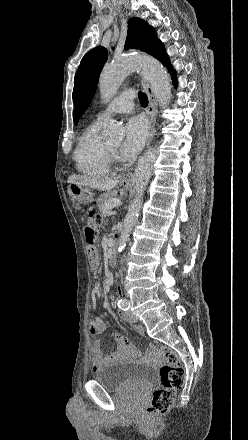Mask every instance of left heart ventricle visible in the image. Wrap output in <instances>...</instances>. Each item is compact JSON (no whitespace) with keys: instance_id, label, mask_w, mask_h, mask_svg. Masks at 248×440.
<instances>
[{"instance_id":"b2bd125f","label":"left heart ventricle","mask_w":248,"mask_h":440,"mask_svg":"<svg viewBox=\"0 0 248 440\" xmlns=\"http://www.w3.org/2000/svg\"><path fill=\"white\" fill-rule=\"evenodd\" d=\"M109 147L113 150H117V148L119 147V144L118 143L111 144Z\"/></svg>"}]
</instances>
